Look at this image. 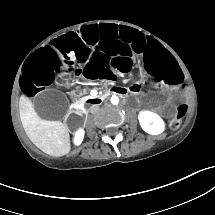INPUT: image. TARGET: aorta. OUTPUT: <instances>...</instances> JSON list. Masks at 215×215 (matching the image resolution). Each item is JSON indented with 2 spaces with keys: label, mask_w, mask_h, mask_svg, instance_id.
<instances>
[{
  "label": "aorta",
  "mask_w": 215,
  "mask_h": 215,
  "mask_svg": "<svg viewBox=\"0 0 215 215\" xmlns=\"http://www.w3.org/2000/svg\"><path fill=\"white\" fill-rule=\"evenodd\" d=\"M111 103H112L113 105H117V104L119 103V98H118V96L113 95V96L111 97Z\"/></svg>",
  "instance_id": "762f6f07"
}]
</instances>
